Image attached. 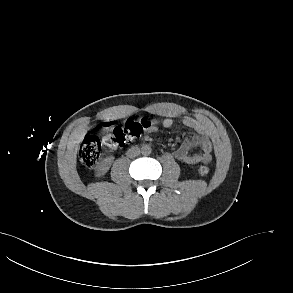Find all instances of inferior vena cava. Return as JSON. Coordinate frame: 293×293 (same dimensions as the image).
I'll list each match as a JSON object with an SVG mask.
<instances>
[{"mask_svg":"<svg viewBox=\"0 0 293 293\" xmlns=\"http://www.w3.org/2000/svg\"><path fill=\"white\" fill-rule=\"evenodd\" d=\"M126 154L130 158L136 157L140 154V149L138 147H131Z\"/></svg>","mask_w":293,"mask_h":293,"instance_id":"inferior-vena-cava-1","label":"inferior vena cava"}]
</instances>
